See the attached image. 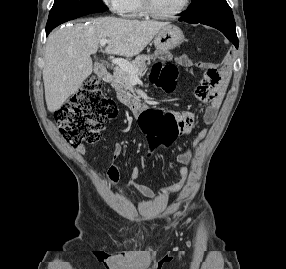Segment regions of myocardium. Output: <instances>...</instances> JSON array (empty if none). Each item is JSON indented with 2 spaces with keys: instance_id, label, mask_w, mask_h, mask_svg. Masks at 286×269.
Masks as SVG:
<instances>
[{
  "instance_id": "obj_1",
  "label": "myocardium",
  "mask_w": 286,
  "mask_h": 269,
  "mask_svg": "<svg viewBox=\"0 0 286 269\" xmlns=\"http://www.w3.org/2000/svg\"><path fill=\"white\" fill-rule=\"evenodd\" d=\"M141 8L145 15L154 19H171L183 13L190 5V0H184L182 5L175 11L161 14L154 10L151 0H140Z\"/></svg>"
}]
</instances>
